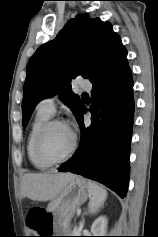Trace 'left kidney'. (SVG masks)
Wrapping results in <instances>:
<instances>
[{
	"label": "left kidney",
	"mask_w": 158,
	"mask_h": 237,
	"mask_svg": "<svg viewBox=\"0 0 158 237\" xmlns=\"http://www.w3.org/2000/svg\"><path fill=\"white\" fill-rule=\"evenodd\" d=\"M107 229V219L105 216L98 217L91 226L93 236H105Z\"/></svg>",
	"instance_id": "obj_1"
}]
</instances>
